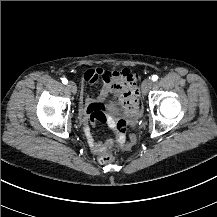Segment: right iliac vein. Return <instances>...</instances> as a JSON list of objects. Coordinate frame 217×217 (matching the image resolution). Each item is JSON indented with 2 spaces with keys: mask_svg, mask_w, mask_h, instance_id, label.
Masks as SVG:
<instances>
[{
  "mask_svg": "<svg viewBox=\"0 0 217 217\" xmlns=\"http://www.w3.org/2000/svg\"><path fill=\"white\" fill-rule=\"evenodd\" d=\"M67 87H68V89H69L73 94H76V92H77V87H76V85H75L74 82H69V83L67 84Z\"/></svg>",
  "mask_w": 217,
  "mask_h": 217,
  "instance_id": "63e3f726",
  "label": "right iliac vein"
}]
</instances>
